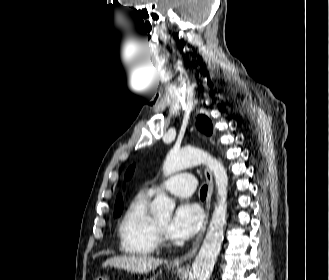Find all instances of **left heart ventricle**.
<instances>
[{"mask_svg":"<svg viewBox=\"0 0 329 280\" xmlns=\"http://www.w3.org/2000/svg\"><path fill=\"white\" fill-rule=\"evenodd\" d=\"M157 221L164 227L166 228L169 222V217H162L158 218Z\"/></svg>","mask_w":329,"mask_h":280,"instance_id":"b2bd125f","label":"left heart ventricle"}]
</instances>
